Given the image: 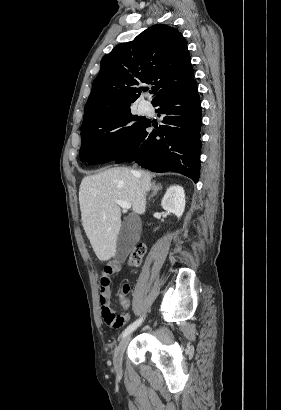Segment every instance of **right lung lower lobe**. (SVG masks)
Instances as JSON below:
<instances>
[{"label": "right lung lower lobe", "mask_w": 281, "mask_h": 410, "mask_svg": "<svg viewBox=\"0 0 281 410\" xmlns=\"http://www.w3.org/2000/svg\"><path fill=\"white\" fill-rule=\"evenodd\" d=\"M153 106L163 125L152 131L145 125L116 163L136 162L154 172H179L195 183L200 177L201 107L196 81L159 97Z\"/></svg>", "instance_id": "obj_1"}]
</instances>
